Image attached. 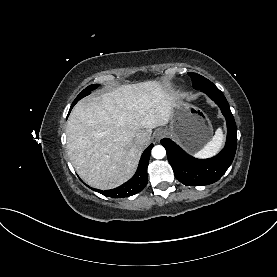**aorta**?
I'll return each instance as SVG.
<instances>
[{"mask_svg":"<svg viewBox=\"0 0 277 277\" xmlns=\"http://www.w3.org/2000/svg\"><path fill=\"white\" fill-rule=\"evenodd\" d=\"M166 155V150L163 146L161 145H157V146H154L153 149H152V156L155 158V159H162L164 158Z\"/></svg>","mask_w":277,"mask_h":277,"instance_id":"1","label":"aorta"}]
</instances>
